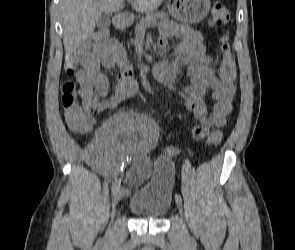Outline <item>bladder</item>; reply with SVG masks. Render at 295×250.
<instances>
[{"label": "bladder", "instance_id": "1", "mask_svg": "<svg viewBox=\"0 0 295 250\" xmlns=\"http://www.w3.org/2000/svg\"><path fill=\"white\" fill-rule=\"evenodd\" d=\"M172 188L171 161L168 157L158 158L149 181L133 189L128 201L129 211L148 220L164 217L172 205Z\"/></svg>", "mask_w": 295, "mask_h": 250}]
</instances>
